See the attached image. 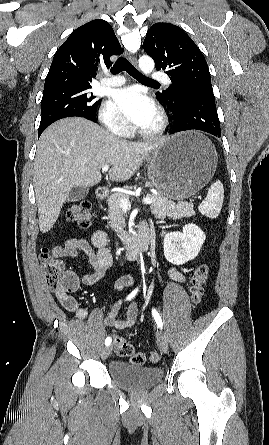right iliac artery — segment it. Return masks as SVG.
Returning a JSON list of instances; mask_svg holds the SVG:
<instances>
[{
    "label": "right iliac artery",
    "mask_w": 269,
    "mask_h": 445,
    "mask_svg": "<svg viewBox=\"0 0 269 445\" xmlns=\"http://www.w3.org/2000/svg\"><path fill=\"white\" fill-rule=\"evenodd\" d=\"M137 292H138V288H136L135 290H133L128 296H127V298H126V300H131L133 297H135V295L137 294ZM111 338L110 337H107L106 338V340H105V345L106 346H109L110 344H111Z\"/></svg>",
    "instance_id": "1"
}]
</instances>
